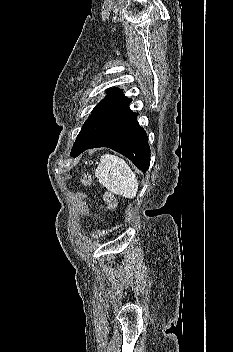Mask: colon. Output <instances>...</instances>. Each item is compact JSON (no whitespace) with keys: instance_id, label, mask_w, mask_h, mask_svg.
<instances>
[{"instance_id":"colon-1","label":"colon","mask_w":233,"mask_h":352,"mask_svg":"<svg viewBox=\"0 0 233 352\" xmlns=\"http://www.w3.org/2000/svg\"><path fill=\"white\" fill-rule=\"evenodd\" d=\"M89 178L88 177H83L82 182L83 183H88ZM105 203L109 209H114L116 207V199L112 194H106L104 197Z\"/></svg>"}]
</instances>
